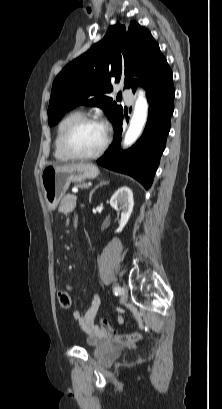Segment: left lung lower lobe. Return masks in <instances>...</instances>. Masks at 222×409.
Here are the masks:
<instances>
[{
	"mask_svg": "<svg viewBox=\"0 0 222 409\" xmlns=\"http://www.w3.org/2000/svg\"><path fill=\"white\" fill-rule=\"evenodd\" d=\"M145 88L149 114L142 136L131 149H120L123 120L121 114L113 123L114 141L97 163L110 170L130 175L149 189L165 149L174 110L175 90L171 69L153 79Z\"/></svg>",
	"mask_w": 222,
	"mask_h": 409,
	"instance_id": "1",
	"label": "left lung lower lobe"
}]
</instances>
